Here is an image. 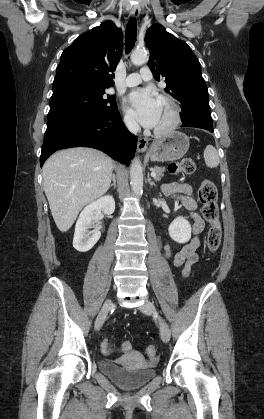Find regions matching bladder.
I'll list each match as a JSON object with an SVG mask.
<instances>
[{"mask_svg":"<svg viewBox=\"0 0 264 419\" xmlns=\"http://www.w3.org/2000/svg\"><path fill=\"white\" fill-rule=\"evenodd\" d=\"M98 368L104 375L126 389L139 388L148 383L156 375V370L151 365L133 369L121 366L107 359L100 360L98 362Z\"/></svg>","mask_w":264,"mask_h":419,"instance_id":"1","label":"bladder"}]
</instances>
